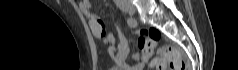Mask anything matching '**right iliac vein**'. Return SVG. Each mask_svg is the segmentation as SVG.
<instances>
[{"instance_id":"63e3f726","label":"right iliac vein","mask_w":238,"mask_h":70,"mask_svg":"<svg viewBox=\"0 0 238 70\" xmlns=\"http://www.w3.org/2000/svg\"><path fill=\"white\" fill-rule=\"evenodd\" d=\"M122 10L129 13V14H134L136 12V9L134 6L130 5V4H125L122 5Z\"/></svg>"}]
</instances>
